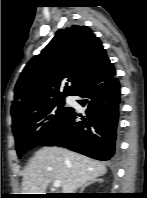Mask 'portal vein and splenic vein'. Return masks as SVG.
<instances>
[{
	"label": "portal vein and splenic vein",
	"mask_w": 147,
	"mask_h": 198,
	"mask_svg": "<svg viewBox=\"0 0 147 198\" xmlns=\"http://www.w3.org/2000/svg\"><path fill=\"white\" fill-rule=\"evenodd\" d=\"M53 186H54L55 188L60 187V186H61V181H60V180H55V181L53 182Z\"/></svg>",
	"instance_id": "portal-vein-and-splenic-vein-1"
}]
</instances>
